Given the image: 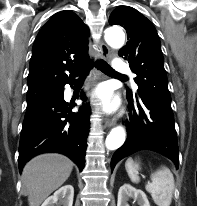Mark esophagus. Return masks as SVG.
Masks as SVG:
<instances>
[{"mask_svg": "<svg viewBox=\"0 0 197 206\" xmlns=\"http://www.w3.org/2000/svg\"><path fill=\"white\" fill-rule=\"evenodd\" d=\"M99 48H100V57L101 58H108L109 57V54H110V50H109V47L104 43V42H100V45H99ZM105 124L108 126V127H111L115 124V121L109 119V118H106L105 120Z\"/></svg>", "mask_w": 197, "mask_h": 206, "instance_id": "34e87169", "label": "esophagus"}]
</instances>
